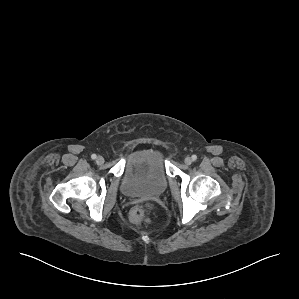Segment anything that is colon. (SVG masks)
<instances>
[{
    "mask_svg": "<svg viewBox=\"0 0 299 299\" xmlns=\"http://www.w3.org/2000/svg\"><path fill=\"white\" fill-rule=\"evenodd\" d=\"M129 220L133 224H142L149 222V217L146 209L142 206L134 207L129 214Z\"/></svg>",
    "mask_w": 299,
    "mask_h": 299,
    "instance_id": "obj_1",
    "label": "colon"
}]
</instances>
